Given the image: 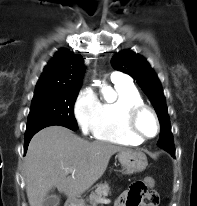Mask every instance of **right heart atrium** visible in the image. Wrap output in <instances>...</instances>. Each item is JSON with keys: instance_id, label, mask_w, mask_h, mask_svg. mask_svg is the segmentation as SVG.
<instances>
[{"instance_id": "1", "label": "right heart atrium", "mask_w": 197, "mask_h": 206, "mask_svg": "<svg viewBox=\"0 0 197 206\" xmlns=\"http://www.w3.org/2000/svg\"><path fill=\"white\" fill-rule=\"evenodd\" d=\"M100 112V102L91 88H84L74 104V117L84 135L93 131Z\"/></svg>"}]
</instances>
